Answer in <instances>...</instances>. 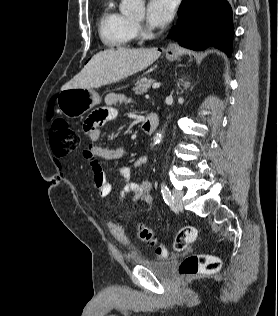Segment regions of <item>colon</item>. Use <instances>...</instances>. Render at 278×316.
I'll return each mask as SVG.
<instances>
[{"mask_svg": "<svg viewBox=\"0 0 278 316\" xmlns=\"http://www.w3.org/2000/svg\"><path fill=\"white\" fill-rule=\"evenodd\" d=\"M49 141L55 156H64L80 146L81 135L64 120H55L49 131ZM138 237L155 248L158 257L167 255L166 248L159 244L154 232L144 224L137 225ZM198 236V230L193 226H185L177 233L173 247L176 251L184 250ZM221 263L217 257L208 254H193L186 257L179 267V275L185 280L200 274L214 273L220 269Z\"/></svg>", "mask_w": 278, "mask_h": 316, "instance_id": "5ec220e1", "label": "colon"}]
</instances>
